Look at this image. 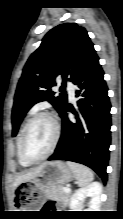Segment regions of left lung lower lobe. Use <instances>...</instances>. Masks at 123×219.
Listing matches in <instances>:
<instances>
[{
    "mask_svg": "<svg viewBox=\"0 0 123 219\" xmlns=\"http://www.w3.org/2000/svg\"><path fill=\"white\" fill-rule=\"evenodd\" d=\"M73 83L78 87V110L66 104L60 113L61 137L48 160L84 164L93 169L105 183L111 142V104L98 56L85 64ZM68 111L75 115L74 121L68 119Z\"/></svg>",
    "mask_w": 123,
    "mask_h": 219,
    "instance_id": "left-lung-lower-lobe-1",
    "label": "left lung lower lobe"
}]
</instances>
